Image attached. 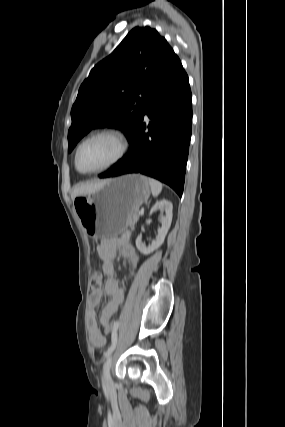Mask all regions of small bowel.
<instances>
[{
    "label": "small bowel",
    "mask_w": 285,
    "mask_h": 427,
    "mask_svg": "<svg viewBox=\"0 0 285 427\" xmlns=\"http://www.w3.org/2000/svg\"><path fill=\"white\" fill-rule=\"evenodd\" d=\"M118 252H120L122 257L130 264V276L135 274L139 261L136 251L131 245L128 237L120 239H104L98 245L97 253L102 261L103 272L107 276L104 291L110 297L99 317V322L103 326L111 324L114 315L124 300V289L115 277L114 260ZM102 295L103 290L101 288L91 291L89 296V305L91 307L92 314H94L95 308L99 305ZM90 339L93 347L95 348H102L105 346V337L100 331L97 323H93L91 327Z\"/></svg>",
    "instance_id": "small-bowel-1"
}]
</instances>
